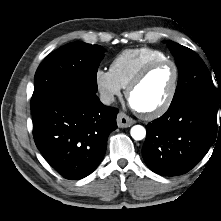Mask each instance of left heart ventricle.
Returning a JSON list of instances; mask_svg holds the SVG:
<instances>
[{
  "mask_svg": "<svg viewBox=\"0 0 221 221\" xmlns=\"http://www.w3.org/2000/svg\"><path fill=\"white\" fill-rule=\"evenodd\" d=\"M174 71L171 65H161L152 70L144 81L132 92L131 102L140 111L158 107L172 86Z\"/></svg>",
  "mask_w": 221,
  "mask_h": 221,
  "instance_id": "left-heart-ventricle-1",
  "label": "left heart ventricle"
}]
</instances>
